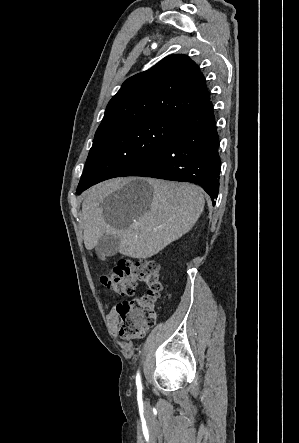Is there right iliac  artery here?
I'll return each instance as SVG.
<instances>
[{
  "instance_id": "obj_1",
  "label": "right iliac artery",
  "mask_w": 299,
  "mask_h": 443,
  "mask_svg": "<svg viewBox=\"0 0 299 443\" xmlns=\"http://www.w3.org/2000/svg\"><path fill=\"white\" fill-rule=\"evenodd\" d=\"M136 385H137L138 392H141L142 391V384H141V378H140L139 372H137V376H136Z\"/></svg>"
}]
</instances>
